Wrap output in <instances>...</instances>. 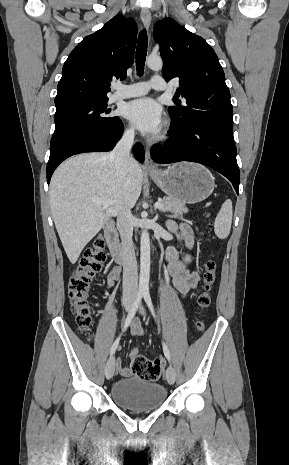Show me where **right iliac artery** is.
I'll return each mask as SVG.
<instances>
[{"mask_svg":"<svg viewBox=\"0 0 289 465\" xmlns=\"http://www.w3.org/2000/svg\"><path fill=\"white\" fill-rule=\"evenodd\" d=\"M142 297H143V293L142 292H138L135 300H134V303L131 307V309L129 310L128 312V315L125 319V323H124V327H123V332L127 329V327L129 326V324L131 323L134 315L136 314V311L140 305V302L142 300ZM119 340H120V337H118L115 342L113 343L111 349H110V355H113L117 349V346L119 344Z\"/></svg>","mask_w":289,"mask_h":465,"instance_id":"1","label":"right iliac artery"}]
</instances>
